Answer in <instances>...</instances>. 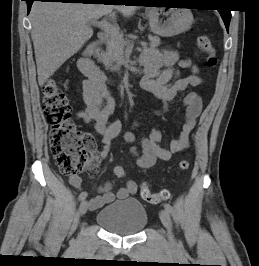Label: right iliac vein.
I'll return each mask as SVG.
<instances>
[{
	"instance_id": "obj_1",
	"label": "right iliac vein",
	"mask_w": 259,
	"mask_h": 266,
	"mask_svg": "<svg viewBox=\"0 0 259 266\" xmlns=\"http://www.w3.org/2000/svg\"><path fill=\"white\" fill-rule=\"evenodd\" d=\"M88 209V203L86 201H82L79 207V214L83 216Z\"/></svg>"
}]
</instances>
